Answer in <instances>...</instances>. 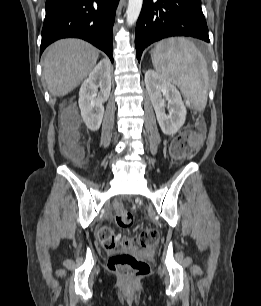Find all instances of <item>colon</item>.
I'll return each instance as SVG.
<instances>
[{"label": "colon", "mask_w": 261, "mask_h": 306, "mask_svg": "<svg viewBox=\"0 0 261 306\" xmlns=\"http://www.w3.org/2000/svg\"><path fill=\"white\" fill-rule=\"evenodd\" d=\"M78 128L77 114L74 111L65 112L61 119V138L65 154L73 161H78L82 157V152L77 145ZM200 143V134L184 131L172 141L171 155L176 160L185 159L200 146ZM115 220L119 227L128 228L133 224L134 216L130 211L119 208L116 211ZM99 238L106 250L119 251L113 254L108 261L110 271L126 280H134L148 273L147 262L128 251L151 248L156 245L159 239L156 229L147 228L132 237H119L111 228L102 227L99 230Z\"/></svg>", "instance_id": "1"}]
</instances>
